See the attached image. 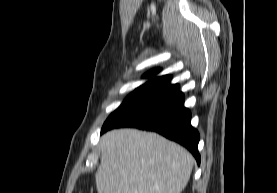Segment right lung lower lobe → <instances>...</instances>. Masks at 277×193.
<instances>
[{"mask_svg": "<svg viewBox=\"0 0 277 193\" xmlns=\"http://www.w3.org/2000/svg\"><path fill=\"white\" fill-rule=\"evenodd\" d=\"M191 113L184 107L179 85H169L145 95L105 122L101 133L118 127L155 131L185 146L200 164L199 133L191 126Z\"/></svg>", "mask_w": 277, "mask_h": 193, "instance_id": "obj_1", "label": "right lung lower lobe"}]
</instances>
